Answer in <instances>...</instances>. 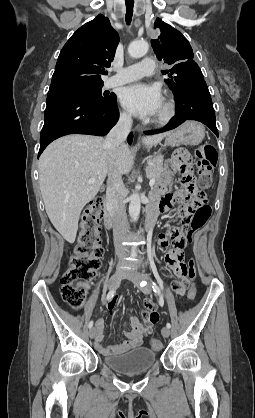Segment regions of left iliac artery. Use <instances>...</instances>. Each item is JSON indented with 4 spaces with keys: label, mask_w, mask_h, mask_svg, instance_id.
I'll return each mask as SVG.
<instances>
[{
    "label": "left iliac artery",
    "mask_w": 255,
    "mask_h": 418,
    "mask_svg": "<svg viewBox=\"0 0 255 418\" xmlns=\"http://www.w3.org/2000/svg\"><path fill=\"white\" fill-rule=\"evenodd\" d=\"M152 289H153V291L155 292V293H161L160 292V288L153 282L152 283ZM166 327H168L169 329L171 328V324L170 323H167L166 324Z\"/></svg>",
    "instance_id": "1"
}]
</instances>
